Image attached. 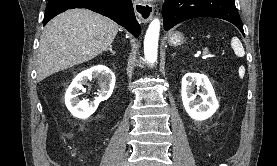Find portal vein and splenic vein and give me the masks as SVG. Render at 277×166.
Here are the masks:
<instances>
[{
    "instance_id": "1",
    "label": "portal vein and splenic vein",
    "mask_w": 277,
    "mask_h": 166,
    "mask_svg": "<svg viewBox=\"0 0 277 166\" xmlns=\"http://www.w3.org/2000/svg\"><path fill=\"white\" fill-rule=\"evenodd\" d=\"M213 57H215V55L208 54V53H204V55L202 56L203 59H208V58H213Z\"/></svg>"
}]
</instances>
